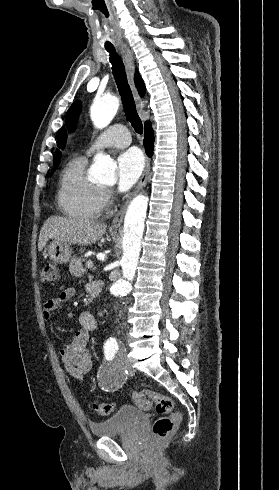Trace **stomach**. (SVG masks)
<instances>
[{
  "label": "stomach",
  "mask_w": 279,
  "mask_h": 490,
  "mask_svg": "<svg viewBox=\"0 0 279 490\" xmlns=\"http://www.w3.org/2000/svg\"><path fill=\"white\" fill-rule=\"evenodd\" d=\"M46 252L53 264H66L72 254L71 244H61V242H51L46 248Z\"/></svg>",
  "instance_id": "0dacf381"
}]
</instances>
